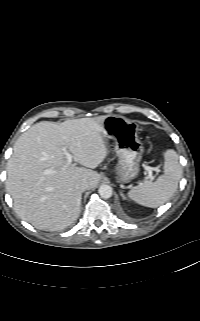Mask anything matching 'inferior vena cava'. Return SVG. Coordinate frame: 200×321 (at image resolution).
<instances>
[{"label":"inferior vena cava","mask_w":200,"mask_h":321,"mask_svg":"<svg viewBox=\"0 0 200 321\" xmlns=\"http://www.w3.org/2000/svg\"><path fill=\"white\" fill-rule=\"evenodd\" d=\"M76 188L79 191L84 192L85 190H87L89 188V184L86 180H80L77 182Z\"/></svg>","instance_id":"1"}]
</instances>
